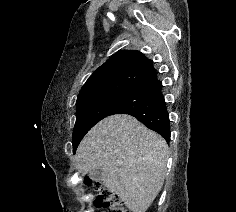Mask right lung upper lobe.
<instances>
[{"mask_svg":"<svg viewBox=\"0 0 236 212\" xmlns=\"http://www.w3.org/2000/svg\"><path fill=\"white\" fill-rule=\"evenodd\" d=\"M154 71L152 61L143 53L136 50L119 51L93 72L77 100L106 92L132 89Z\"/></svg>","mask_w":236,"mask_h":212,"instance_id":"obj_1","label":"right lung upper lobe"}]
</instances>
